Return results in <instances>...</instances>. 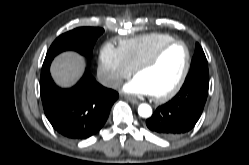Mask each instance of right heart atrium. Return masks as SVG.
Listing matches in <instances>:
<instances>
[{
	"label": "right heart atrium",
	"instance_id": "1",
	"mask_svg": "<svg viewBox=\"0 0 249 165\" xmlns=\"http://www.w3.org/2000/svg\"><path fill=\"white\" fill-rule=\"evenodd\" d=\"M131 68L125 62L119 48L105 44L99 53L97 74L100 81L109 88H117L124 79L130 77Z\"/></svg>",
	"mask_w": 249,
	"mask_h": 165
}]
</instances>
